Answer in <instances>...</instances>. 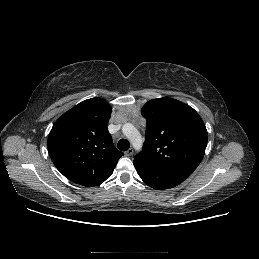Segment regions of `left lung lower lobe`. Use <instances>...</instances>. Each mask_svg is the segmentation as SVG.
Here are the masks:
<instances>
[{
	"mask_svg": "<svg viewBox=\"0 0 259 259\" xmlns=\"http://www.w3.org/2000/svg\"><path fill=\"white\" fill-rule=\"evenodd\" d=\"M134 166L141 179L148 186L157 190L173 188L186 179L138 160H134Z\"/></svg>",
	"mask_w": 259,
	"mask_h": 259,
	"instance_id": "obj_1",
	"label": "left lung lower lobe"
}]
</instances>
